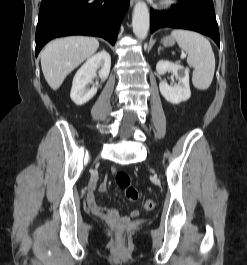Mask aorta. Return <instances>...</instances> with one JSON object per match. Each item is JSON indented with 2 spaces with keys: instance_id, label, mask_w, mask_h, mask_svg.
I'll list each match as a JSON object with an SVG mask.
<instances>
[{
  "instance_id": "762f6f07",
  "label": "aorta",
  "mask_w": 247,
  "mask_h": 265,
  "mask_svg": "<svg viewBox=\"0 0 247 265\" xmlns=\"http://www.w3.org/2000/svg\"><path fill=\"white\" fill-rule=\"evenodd\" d=\"M132 27L138 39H145L149 30V10L145 2L135 4L132 16Z\"/></svg>"
}]
</instances>
